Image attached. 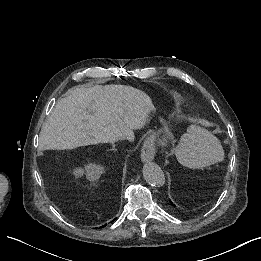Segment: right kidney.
<instances>
[{
    "instance_id": "1",
    "label": "right kidney",
    "mask_w": 261,
    "mask_h": 261,
    "mask_svg": "<svg viewBox=\"0 0 261 261\" xmlns=\"http://www.w3.org/2000/svg\"><path fill=\"white\" fill-rule=\"evenodd\" d=\"M104 173V167L96 164H88L85 168H76L73 171L75 177H81L84 174L89 181H96Z\"/></svg>"
}]
</instances>
